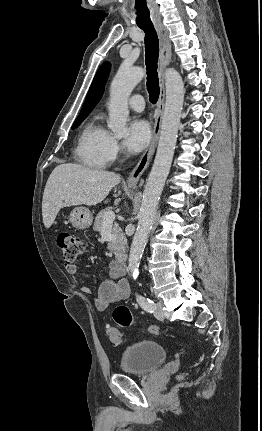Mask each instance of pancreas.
<instances>
[{
  "instance_id": "1",
  "label": "pancreas",
  "mask_w": 262,
  "mask_h": 431,
  "mask_svg": "<svg viewBox=\"0 0 262 431\" xmlns=\"http://www.w3.org/2000/svg\"><path fill=\"white\" fill-rule=\"evenodd\" d=\"M108 211H109L108 209L102 210L97 214L94 221V227H93L95 231L101 232L102 226H103V219L106 212ZM111 232H112V235L115 237V239L109 241L108 249L111 251H118V250L124 249L126 245V239L123 236L121 229L119 228L117 223L112 225Z\"/></svg>"
}]
</instances>
